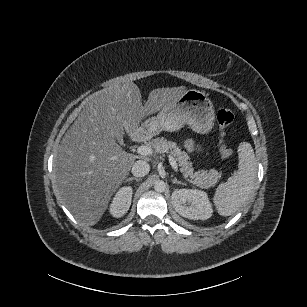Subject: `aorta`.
Returning <instances> with one entry per match:
<instances>
[{
	"instance_id": "762f6f07",
	"label": "aorta",
	"mask_w": 307,
	"mask_h": 307,
	"mask_svg": "<svg viewBox=\"0 0 307 307\" xmlns=\"http://www.w3.org/2000/svg\"><path fill=\"white\" fill-rule=\"evenodd\" d=\"M154 189L157 192H164L166 190V184L163 180H157L154 183Z\"/></svg>"
}]
</instances>
